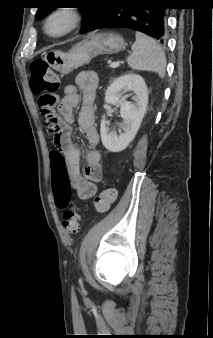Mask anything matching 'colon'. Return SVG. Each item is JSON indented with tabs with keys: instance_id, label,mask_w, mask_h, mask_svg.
<instances>
[{
	"instance_id": "5ec220e1",
	"label": "colon",
	"mask_w": 213,
	"mask_h": 338,
	"mask_svg": "<svg viewBox=\"0 0 213 338\" xmlns=\"http://www.w3.org/2000/svg\"><path fill=\"white\" fill-rule=\"evenodd\" d=\"M31 79L30 86L34 94L38 98V107L45 119L46 124L50 127L53 135V143L59 147L62 142V132L57 124L58 120L54 116L55 97L60 88L58 76L50 69L49 65L41 59L32 61L30 65ZM53 192L55 204L59 208H63L64 214L62 226L66 233L76 234L79 230L80 214L72 204L71 191L67 184L64 172L55 174ZM116 199V191L114 189H106L95 197L93 206L96 211L105 213L109 210L110 205Z\"/></svg>"
}]
</instances>
